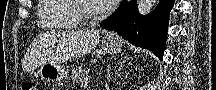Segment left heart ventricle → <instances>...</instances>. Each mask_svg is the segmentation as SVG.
Here are the masks:
<instances>
[{"mask_svg":"<svg viewBox=\"0 0 216 90\" xmlns=\"http://www.w3.org/2000/svg\"><path fill=\"white\" fill-rule=\"evenodd\" d=\"M84 6L93 10L98 8L99 5L97 1H84Z\"/></svg>","mask_w":216,"mask_h":90,"instance_id":"1","label":"left heart ventricle"}]
</instances>
